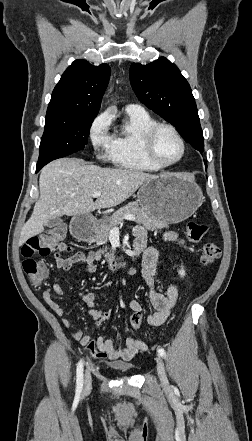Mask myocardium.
I'll return each mask as SVG.
<instances>
[{"label":"myocardium","mask_w":252,"mask_h":441,"mask_svg":"<svg viewBox=\"0 0 252 441\" xmlns=\"http://www.w3.org/2000/svg\"><path fill=\"white\" fill-rule=\"evenodd\" d=\"M163 129L170 131L178 139L182 149L180 156L174 161L168 163L162 162L155 154V138L159 133V131ZM186 149L187 147H186L185 139L182 137L179 131L171 124L156 122L154 125L148 128L144 133L143 136L144 153L148 158V160L159 168H168L179 163L184 158L186 154Z\"/></svg>","instance_id":"1"}]
</instances>
